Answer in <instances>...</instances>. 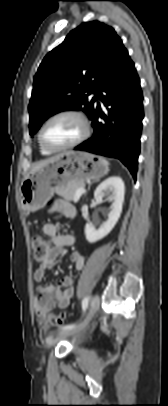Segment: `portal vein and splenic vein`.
<instances>
[{
  "mask_svg": "<svg viewBox=\"0 0 168 406\" xmlns=\"http://www.w3.org/2000/svg\"><path fill=\"white\" fill-rule=\"evenodd\" d=\"M84 192H85V189H84V188L78 189V190L76 191V193H75L74 202H77V201L79 200L80 196H81L82 194H84Z\"/></svg>",
  "mask_w": 168,
  "mask_h": 406,
  "instance_id": "18ae733b",
  "label": "portal vein and splenic vein"
}]
</instances>
